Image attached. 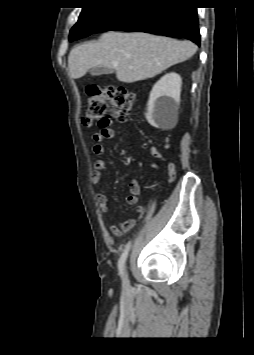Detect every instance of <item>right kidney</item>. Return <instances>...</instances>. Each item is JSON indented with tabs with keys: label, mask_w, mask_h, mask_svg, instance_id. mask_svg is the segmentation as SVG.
Instances as JSON below:
<instances>
[{
	"label": "right kidney",
	"mask_w": 254,
	"mask_h": 355,
	"mask_svg": "<svg viewBox=\"0 0 254 355\" xmlns=\"http://www.w3.org/2000/svg\"><path fill=\"white\" fill-rule=\"evenodd\" d=\"M182 79L176 73L163 76L152 88L145 117L156 128L171 127L177 119Z\"/></svg>",
	"instance_id": "ca27d5eb"
}]
</instances>
